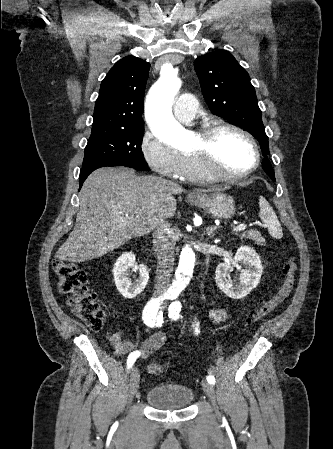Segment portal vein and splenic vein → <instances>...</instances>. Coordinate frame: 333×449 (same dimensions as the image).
I'll use <instances>...</instances> for the list:
<instances>
[{
	"instance_id": "18ae733b",
	"label": "portal vein and splenic vein",
	"mask_w": 333,
	"mask_h": 449,
	"mask_svg": "<svg viewBox=\"0 0 333 449\" xmlns=\"http://www.w3.org/2000/svg\"><path fill=\"white\" fill-rule=\"evenodd\" d=\"M125 217H129L128 215H125ZM247 228V226L245 224H241L236 226L233 231L237 232V231H242L245 230Z\"/></svg>"
}]
</instances>
